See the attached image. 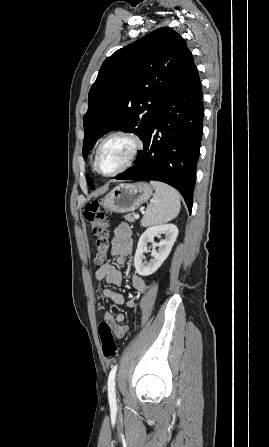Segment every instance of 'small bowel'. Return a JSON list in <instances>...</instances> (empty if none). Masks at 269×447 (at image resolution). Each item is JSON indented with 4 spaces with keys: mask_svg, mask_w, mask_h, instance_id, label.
I'll list each match as a JSON object with an SVG mask.
<instances>
[{
    "mask_svg": "<svg viewBox=\"0 0 269 447\" xmlns=\"http://www.w3.org/2000/svg\"><path fill=\"white\" fill-rule=\"evenodd\" d=\"M134 244L131 238V229L127 224H120L114 231L112 240L111 255L117 259L120 265H124L126 260L132 255ZM95 280L100 283L106 281L115 286H121L124 282L122 273L116 268L112 262L102 264L95 272ZM131 284L134 290L139 293H144L147 290L146 282L133 275L131 277ZM109 299L115 305L125 306L133 309L136 303L133 299H128L121 293L115 292L110 288H104L98 295V300ZM105 319L109 321V327L115 328V333L118 338H124L128 332V328L122 325L125 316L123 313L113 315L109 312L105 313Z\"/></svg>",
    "mask_w": 269,
    "mask_h": 447,
    "instance_id": "small-bowel-1",
    "label": "small bowel"
}]
</instances>
